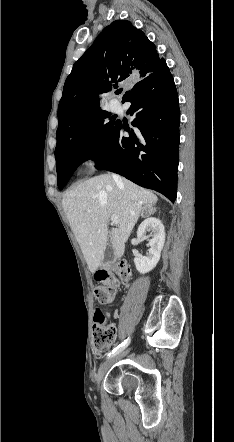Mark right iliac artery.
Masks as SVG:
<instances>
[{
    "label": "right iliac artery",
    "instance_id": "obj_1",
    "mask_svg": "<svg viewBox=\"0 0 234 442\" xmlns=\"http://www.w3.org/2000/svg\"><path fill=\"white\" fill-rule=\"evenodd\" d=\"M130 343V338L125 340L123 343H121L119 346H117L111 353L108 354V358L113 357L120 353L122 350H124Z\"/></svg>",
    "mask_w": 234,
    "mask_h": 442
}]
</instances>
